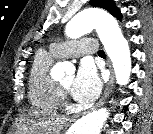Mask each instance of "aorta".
Here are the masks:
<instances>
[{
    "label": "aorta",
    "mask_w": 153,
    "mask_h": 134,
    "mask_svg": "<svg viewBox=\"0 0 153 134\" xmlns=\"http://www.w3.org/2000/svg\"><path fill=\"white\" fill-rule=\"evenodd\" d=\"M96 30L106 53L110 58L116 81L119 85L129 82L131 73V56L128 41L124 38L118 23L111 16L98 9H86L76 14L66 25L69 38H79ZM56 71L73 70L67 62L58 63ZM109 109L102 108L80 118L71 128L72 134H100L108 117Z\"/></svg>",
    "instance_id": "obj_1"
}]
</instances>
